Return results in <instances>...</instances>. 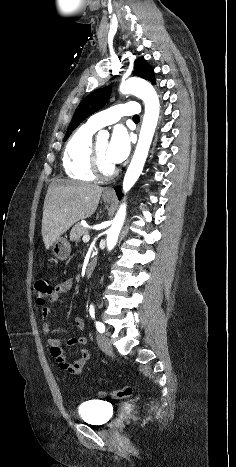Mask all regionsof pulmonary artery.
Listing matches in <instances>:
<instances>
[{
  "label": "pulmonary artery",
  "mask_w": 236,
  "mask_h": 467,
  "mask_svg": "<svg viewBox=\"0 0 236 467\" xmlns=\"http://www.w3.org/2000/svg\"><path fill=\"white\" fill-rule=\"evenodd\" d=\"M139 112L136 103H122L92 115L86 125L93 129H100L117 122L122 116H135Z\"/></svg>",
  "instance_id": "obj_1"
}]
</instances>
